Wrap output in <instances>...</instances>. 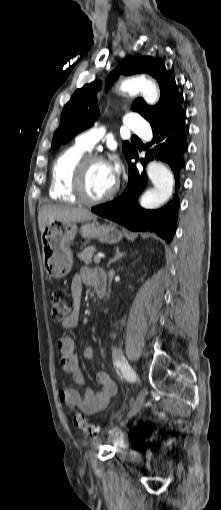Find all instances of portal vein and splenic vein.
Here are the masks:
<instances>
[{"instance_id": "portal-vein-and-splenic-vein-1", "label": "portal vein and splenic vein", "mask_w": 221, "mask_h": 510, "mask_svg": "<svg viewBox=\"0 0 221 510\" xmlns=\"http://www.w3.org/2000/svg\"><path fill=\"white\" fill-rule=\"evenodd\" d=\"M100 261H101V255H96L94 257V262L98 264V263H100Z\"/></svg>"}]
</instances>
